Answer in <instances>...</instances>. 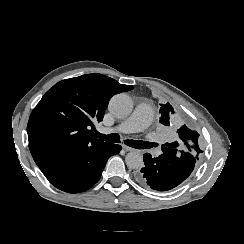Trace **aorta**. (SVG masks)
<instances>
[{"label": "aorta", "instance_id": "1", "mask_svg": "<svg viewBox=\"0 0 244 244\" xmlns=\"http://www.w3.org/2000/svg\"><path fill=\"white\" fill-rule=\"evenodd\" d=\"M133 110L131 98L124 94L113 96L109 102V111L117 118L127 117ZM126 165L131 169H140L143 167V156L138 151H131L125 157Z\"/></svg>", "mask_w": 244, "mask_h": 244}]
</instances>
